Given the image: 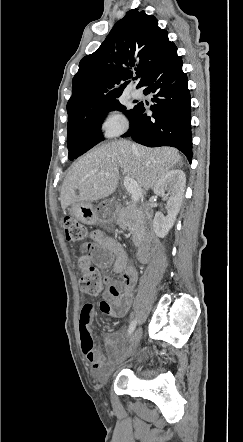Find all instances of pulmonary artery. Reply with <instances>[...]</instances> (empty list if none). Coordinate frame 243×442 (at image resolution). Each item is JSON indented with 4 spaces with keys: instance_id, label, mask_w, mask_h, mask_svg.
<instances>
[{
    "instance_id": "pulmonary-artery-1",
    "label": "pulmonary artery",
    "mask_w": 243,
    "mask_h": 442,
    "mask_svg": "<svg viewBox=\"0 0 243 442\" xmlns=\"http://www.w3.org/2000/svg\"><path fill=\"white\" fill-rule=\"evenodd\" d=\"M131 95H132L133 98L139 99V98L142 97V92L140 90H138V89H133L132 92H131Z\"/></svg>"
}]
</instances>
